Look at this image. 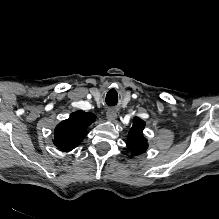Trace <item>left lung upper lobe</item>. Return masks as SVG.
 Segmentation results:
<instances>
[{
	"label": "left lung upper lobe",
	"instance_id": "5c2ea615",
	"mask_svg": "<svg viewBox=\"0 0 219 219\" xmlns=\"http://www.w3.org/2000/svg\"><path fill=\"white\" fill-rule=\"evenodd\" d=\"M145 122L139 117L134 118V123L128 134L127 147L133 156H138L146 152L148 148L147 139L143 136Z\"/></svg>",
	"mask_w": 219,
	"mask_h": 219
}]
</instances>
